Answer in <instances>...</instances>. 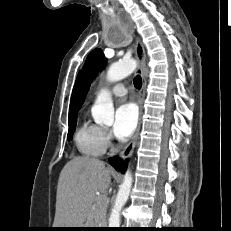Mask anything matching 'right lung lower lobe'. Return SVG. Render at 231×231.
<instances>
[{"mask_svg": "<svg viewBox=\"0 0 231 231\" xmlns=\"http://www.w3.org/2000/svg\"><path fill=\"white\" fill-rule=\"evenodd\" d=\"M110 163L112 166H114V168L118 171H121L122 173H124L125 169H126V163L121 162L119 159H117L116 157L114 158H110L109 159Z\"/></svg>", "mask_w": 231, "mask_h": 231, "instance_id": "1", "label": "right lung lower lobe"}]
</instances>
